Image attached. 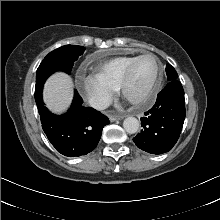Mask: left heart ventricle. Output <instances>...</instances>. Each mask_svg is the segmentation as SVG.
Instances as JSON below:
<instances>
[{
	"instance_id": "left-heart-ventricle-1",
	"label": "left heart ventricle",
	"mask_w": 220,
	"mask_h": 220,
	"mask_svg": "<svg viewBox=\"0 0 220 220\" xmlns=\"http://www.w3.org/2000/svg\"><path fill=\"white\" fill-rule=\"evenodd\" d=\"M156 60L147 56L142 58L135 66L131 81L127 88V95L131 98L142 96L148 89L156 75Z\"/></svg>"
}]
</instances>
